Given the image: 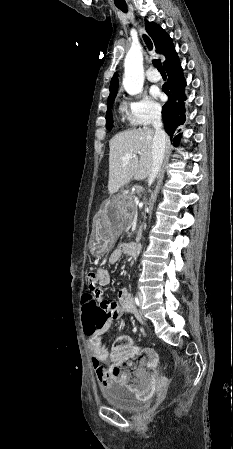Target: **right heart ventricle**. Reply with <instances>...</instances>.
Here are the masks:
<instances>
[{
	"label": "right heart ventricle",
	"mask_w": 233,
	"mask_h": 449,
	"mask_svg": "<svg viewBox=\"0 0 233 449\" xmlns=\"http://www.w3.org/2000/svg\"><path fill=\"white\" fill-rule=\"evenodd\" d=\"M119 112L125 116H127L128 121L130 124H136V122L134 121V119L131 116V113H129V109L127 107V105L125 103H121L119 106Z\"/></svg>",
	"instance_id": "e07e8e85"
}]
</instances>
